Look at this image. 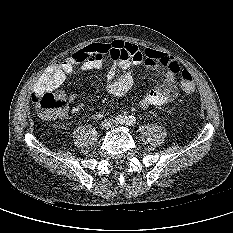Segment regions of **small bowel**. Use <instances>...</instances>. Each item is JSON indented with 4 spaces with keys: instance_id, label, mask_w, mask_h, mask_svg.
<instances>
[{
    "instance_id": "obj_1",
    "label": "small bowel",
    "mask_w": 233,
    "mask_h": 233,
    "mask_svg": "<svg viewBox=\"0 0 233 233\" xmlns=\"http://www.w3.org/2000/svg\"><path fill=\"white\" fill-rule=\"evenodd\" d=\"M106 59L112 61L107 71V91L116 97H123L133 87L131 66L144 65L158 71V82L153 89L146 90L139 100V107L147 109L172 102L178 95L177 76L180 67L170 55L154 50H140L136 45L115 40L109 43H92L62 62L50 66L36 84L35 92L53 91L65 81L66 77L76 68L82 71L99 70ZM78 93L69 97L70 102H76ZM84 106L78 103L71 111L77 112Z\"/></svg>"
}]
</instances>
